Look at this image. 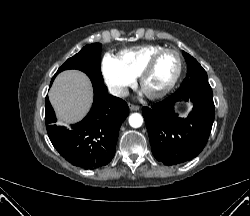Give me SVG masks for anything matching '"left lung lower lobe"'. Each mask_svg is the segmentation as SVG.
Masks as SVG:
<instances>
[{
	"instance_id": "left-lung-lower-lobe-1",
	"label": "left lung lower lobe",
	"mask_w": 250,
	"mask_h": 216,
	"mask_svg": "<svg viewBox=\"0 0 250 216\" xmlns=\"http://www.w3.org/2000/svg\"><path fill=\"white\" fill-rule=\"evenodd\" d=\"M191 101L187 118H179L174 106L178 101ZM152 153L165 165L187 162L203 150L214 121V102L210 92L195 91L172 94L165 100L142 110Z\"/></svg>"
}]
</instances>
